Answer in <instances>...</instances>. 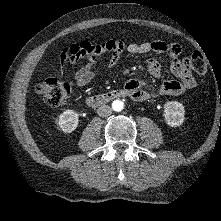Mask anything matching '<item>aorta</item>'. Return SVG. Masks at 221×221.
<instances>
[{
  "mask_svg": "<svg viewBox=\"0 0 221 221\" xmlns=\"http://www.w3.org/2000/svg\"><path fill=\"white\" fill-rule=\"evenodd\" d=\"M113 110L121 111L123 109V102L120 100H115L112 103Z\"/></svg>",
  "mask_w": 221,
  "mask_h": 221,
  "instance_id": "762f6f07",
  "label": "aorta"
}]
</instances>
